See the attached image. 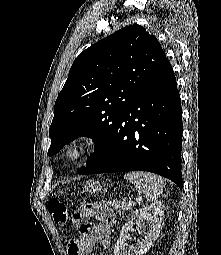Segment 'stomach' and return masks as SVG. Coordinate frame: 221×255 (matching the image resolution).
<instances>
[{
  "label": "stomach",
  "mask_w": 221,
  "mask_h": 255,
  "mask_svg": "<svg viewBox=\"0 0 221 255\" xmlns=\"http://www.w3.org/2000/svg\"><path fill=\"white\" fill-rule=\"evenodd\" d=\"M85 189L89 193H97L101 191V185L98 181L88 180L85 184Z\"/></svg>",
  "instance_id": "obj_1"
}]
</instances>
